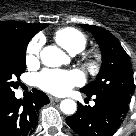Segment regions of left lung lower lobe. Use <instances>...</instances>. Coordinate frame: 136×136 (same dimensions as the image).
Masks as SVG:
<instances>
[{"label": "left lung lower lobe", "instance_id": "obj_1", "mask_svg": "<svg viewBox=\"0 0 136 136\" xmlns=\"http://www.w3.org/2000/svg\"><path fill=\"white\" fill-rule=\"evenodd\" d=\"M94 97L95 106L79 105L66 122L80 136H111L127 113L131 95L114 93Z\"/></svg>", "mask_w": 136, "mask_h": 136}]
</instances>
